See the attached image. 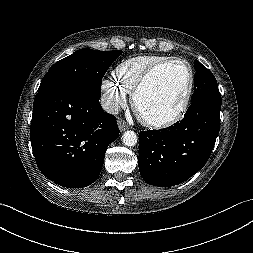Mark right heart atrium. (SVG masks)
<instances>
[{"instance_id":"d8ad5b80","label":"right heart atrium","mask_w":253,"mask_h":253,"mask_svg":"<svg viewBox=\"0 0 253 253\" xmlns=\"http://www.w3.org/2000/svg\"><path fill=\"white\" fill-rule=\"evenodd\" d=\"M101 89L105 97V106L109 112H116L127 102V94L115 82L103 79Z\"/></svg>"}]
</instances>
